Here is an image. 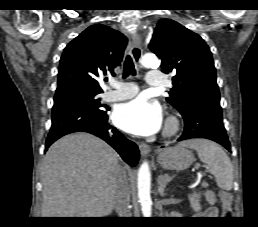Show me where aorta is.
<instances>
[{
    "instance_id": "762f6f07",
    "label": "aorta",
    "mask_w": 258,
    "mask_h": 227,
    "mask_svg": "<svg viewBox=\"0 0 258 227\" xmlns=\"http://www.w3.org/2000/svg\"><path fill=\"white\" fill-rule=\"evenodd\" d=\"M158 63L156 55L148 53L141 59V64L144 67H153ZM150 169L147 161H144L139 170L137 177L138 198L141 205L143 217H151L152 200L150 196Z\"/></svg>"
}]
</instances>
